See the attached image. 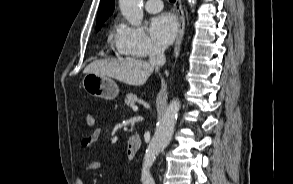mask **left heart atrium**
Returning <instances> with one entry per match:
<instances>
[{
	"label": "left heart atrium",
	"mask_w": 293,
	"mask_h": 184,
	"mask_svg": "<svg viewBox=\"0 0 293 184\" xmlns=\"http://www.w3.org/2000/svg\"><path fill=\"white\" fill-rule=\"evenodd\" d=\"M178 24L174 16L163 13L152 19L150 23V35L160 46H168L174 40Z\"/></svg>",
	"instance_id": "1"
}]
</instances>
